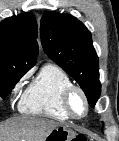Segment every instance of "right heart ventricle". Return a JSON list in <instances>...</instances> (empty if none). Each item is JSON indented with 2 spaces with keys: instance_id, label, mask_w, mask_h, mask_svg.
<instances>
[{
  "instance_id": "1",
  "label": "right heart ventricle",
  "mask_w": 119,
  "mask_h": 141,
  "mask_svg": "<svg viewBox=\"0 0 119 141\" xmlns=\"http://www.w3.org/2000/svg\"><path fill=\"white\" fill-rule=\"evenodd\" d=\"M72 85L69 75L59 66L45 64L31 82L21 101V110L32 115L65 121L69 116L61 104L62 92Z\"/></svg>"
}]
</instances>
